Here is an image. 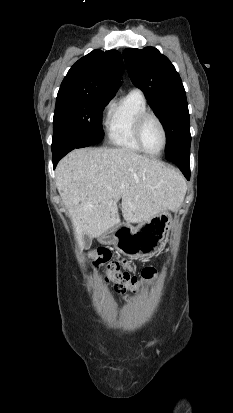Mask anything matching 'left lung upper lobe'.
Here are the masks:
<instances>
[{"label":"left lung upper lobe","instance_id":"left-lung-upper-lobe-1","mask_svg":"<svg viewBox=\"0 0 233 413\" xmlns=\"http://www.w3.org/2000/svg\"><path fill=\"white\" fill-rule=\"evenodd\" d=\"M123 56L132 82L144 92L166 130V159H190L188 104L175 67L154 47L127 48Z\"/></svg>","mask_w":233,"mask_h":413}]
</instances>
